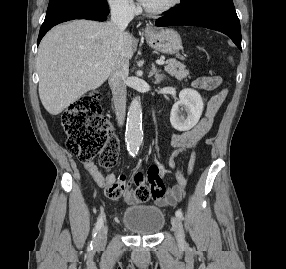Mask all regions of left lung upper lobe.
Masks as SVG:
<instances>
[{
    "label": "left lung upper lobe",
    "instance_id": "5c2ea615",
    "mask_svg": "<svg viewBox=\"0 0 286 269\" xmlns=\"http://www.w3.org/2000/svg\"><path fill=\"white\" fill-rule=\"evenodd\" d=\"M203 5H233L232 0H181L179 7H173L180 11L190 10Z\"/></svg>",
    "mask_w": 286,
    "mask_h": 269
}]
</instances>
